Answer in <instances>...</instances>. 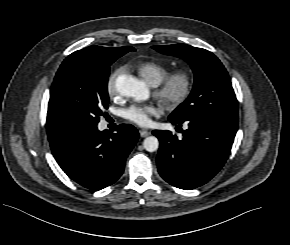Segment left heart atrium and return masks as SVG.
Segmentation results:
<instances>
[{"instance_id":"obj_1","label":"left heart atrium","mask_w":290,"mask_h":245,"mask_svg":"<svg viewBox=\"0 0 290 245\" xmlns=\"http://www.w3.org/2000/svg\"><path fill=\"white\" fill-rule=\"evenodd\" d=\"M162 113V109L156 104H134L124 111V117L140 126H148L152 122V117H157Z\"/></svg>"}]
</instances>
